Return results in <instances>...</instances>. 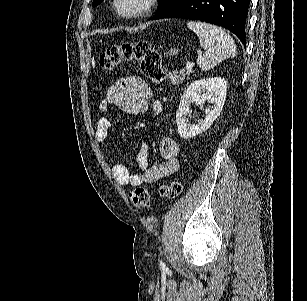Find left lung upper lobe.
Listing matches in <instances>:
<instances>
[{"label":"left lung upper lobe","instance_id":"obj_1","mask_svg":"<svg viewBox=\"0 0 307 301\" xmlns=\"http://www.w3.org/2000/svg\"><path fill=\"white\" fill-rule=\"evenodd\" d=\"M103 0H93V6H97ZM178 0H159V7L154 19L163 14L168 8H170L173 4H175Z\"/></svg>","mask_w":307,"mask_h":301}]
</instances>
